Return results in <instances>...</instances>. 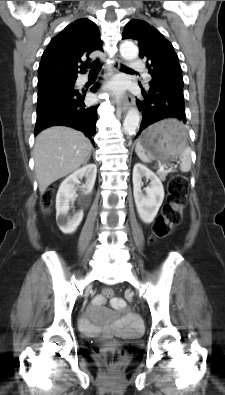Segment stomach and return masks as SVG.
<instances>
[{"label": "stomach", "instance_id": "0dacf381", "mask_svg": "<svg viewBox=\"0 0 225 395\" xmlns=\"http://www.w3.org/2000/svg\"><path fill=\"white\" fill-rule=\"evenodd\" d=\"M139 143L149 155L170 160L186 148V131L176 119L161 120L142 133Z\"/></svg>", "mask_w": 225, "mask_h": 395}]
</instances>
